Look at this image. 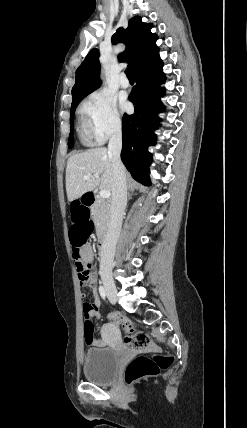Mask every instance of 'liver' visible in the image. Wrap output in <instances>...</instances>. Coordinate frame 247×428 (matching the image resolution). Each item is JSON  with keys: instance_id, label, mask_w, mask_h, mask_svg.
I'll return each mask as SVG.
<instances>
[{"instance_id": "6515ba94", "label": "liver", "mask_w": 247, "mask_h": 428, "mask_svg": "<svg viewBox=\"0 0 247 428\" xmlns=\"http://www.w3.org/2000/svg\"><path fill=\"white\" fill-rule=\"evenodd\" d=\"M85 175L92 178L85 180ZM113 186L112 156L106 148L89 149L74 154L68 159L66 167L68 201H74L96 187L112 191Z\"/></svg>"}]
</instances>
